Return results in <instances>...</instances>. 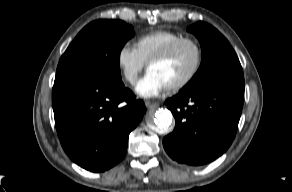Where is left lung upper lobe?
I'll return each instance as SVG.
<instances>
[{
  "label": "left lung upper lobe",
  "mask_w": 292,
  "mask_h": 192,
  "mask_svg": "<svg viewBox=\"0 0 292 192\" xmlns=\"http://www.w3.org/2000/svg\"><path fill=\"white\" fill-rule=\"evenodd\" d=\"M187 30L198 38L203 59L196 74L180 92L215 83H244L238 57L230 43L219 31L201 21L189 26Z\"/></svg>",
  "instance_id": "left-lung-upper-lobe-1"
}]
</instances>
